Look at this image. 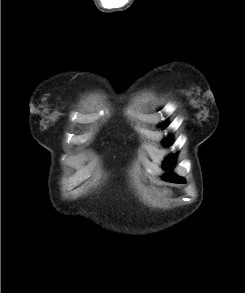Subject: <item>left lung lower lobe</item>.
<instances>
[{
  "label": "left lung lower lobe",
  "mask_w": 245,
  "mask_h": 293,
  "mask_svg": "<svg viewBox=\"0 0 245 293\" xmlns=\"http://www.w3.org/2000/svg\"><path fill=\"white\" fill-rule=\"evenodd\" d=\"M179 183H185V181L184 180H182L181 182H179Z\"/></svg>",
  "instance_id": "0a47b994"
}]
</instances>
